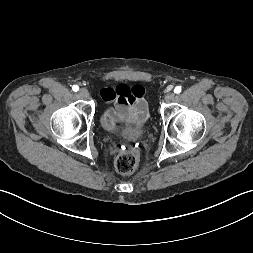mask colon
I'll return each instance as SVG.
<instances>
[{
    "instance_id": "obj_1",
    "label": "colon",
    "mask_w": 253,
    "mask_h": 253,
    "mask_svg": "<svg viewBox=\"0 0 253 253\" xmlns=\"http://www.w3.org/2000/svg\"><path fill=\"white\" fill-rule=\"evenodd\" d=\"M138 166V157L131 149L122 150L115 159L116 170L123 175L135 172Z\"/></svg>"
}]
</instances>
